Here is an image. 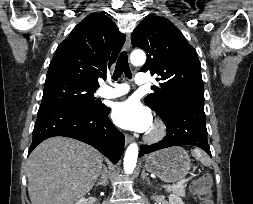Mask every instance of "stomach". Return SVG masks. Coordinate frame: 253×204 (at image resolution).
I'll use <instances>...</instances> for the list:
<instances>
[{
	"instance_id": "0dacf381",
	"label": "stomach",
	"mask_w": 253,
	"mask_h": 204,
	"mask_svg": "<svg viewBox=\"0 0 253 204\" xmlns=\"http://www.w3.org/2000/svg\"><path fill=\"white\" fill-rule=\"evenodd\" d=\"M145 168L162 181L173 183L183 179L189 173L191 161L182 147H171L147 156Z\"/></svg>"
}]
</instances>
